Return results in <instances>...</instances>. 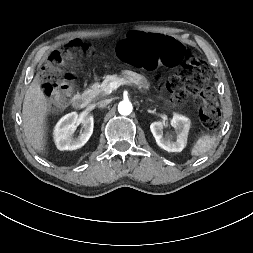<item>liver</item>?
I'll list each match as a JSON object with an SVG mask.
<instances>
[{"mask_svg":"<svg viewBox=\"0 0 253 253\" xmlns=\"http://www.w3.org/2000/svg\"><path fill=\"white\" fill-rule=\"evenodd\" d=\"M49 107L39 77L35 76L25 93L22 119L28 142L39 153L44 151L45 119Z\"/></svg>","mask_w":253,"mask_h":253,"instance_id":"1","label":"liver"}]
</instances>
